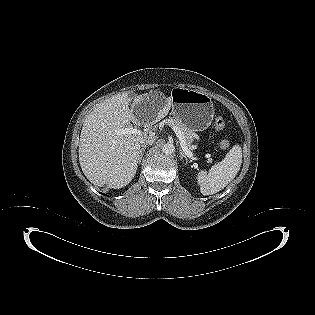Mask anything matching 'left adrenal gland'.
<instances>
[{
    "mask_svg": "<svg viewBox=\"0 0 315 315\" xmlns=\"http://www.w3.org/2000/svg\"><path fill=\"white\" fill-rule=\"evenodd\" d=\"M179 153H180V160H182L183 158L187 161V157L186 155L183 153V151L181 149H179Z\"/></svg>",
    "mask_w": 315,
    "mask_h": 315,
    "instance_id": "obj_1",
    "label": "left adrenal gland"
}]
</instances>
